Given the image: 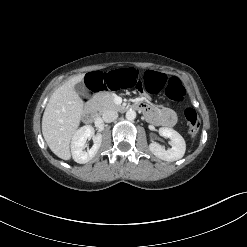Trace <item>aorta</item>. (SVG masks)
Returning <instances> with one entry per match:
<instances>
[{
    "label": "aorta",
    "instance_id": "aorta-1",
    "mask_svg": "<svg viewBox=\"0 0 247 247\" xmlns=\"http://www.w3.org/2000/svg\"><path fill=\"white\" fill-rule=\"evenodd\" d=\"M135 118H136V112H135L134 110H128V111L126 112V119H127V120L132 121V120H134Z\"/></svg>",
    "mask_w": 247,
    "mask_h": 247
}]
</instances>
